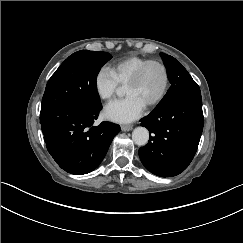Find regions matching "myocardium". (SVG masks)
Wrapping results in <instances>:
<instances>
[{"instance_id":"f54148a6","label":"myocardium","mask_w":243,"mask_h":243,"mask_svg":"<svg viewBox=\"0 0 243 243\" xmlns=\"http://www.w3.org/2000/svg\"><path fill=\"white\" fill-rule=\"evenodd\" d=\"M151 64H157L159 65L164 73H165V77H166V83H165V87L163 92L161 93V95L154 100L153 102L149 103L147 106L149 108H154L157 107L158 105H160L168 96L170 89H171V84H172V78H171V73L170 70L168 68V66L161 60L158 59H148L147 61H145L144 63H142L137 70L132 74V76L127 80L126 82V86L129 84H133L136 83L140 77L142 76L144 70Z\"/></svg>"}]
</instances>
